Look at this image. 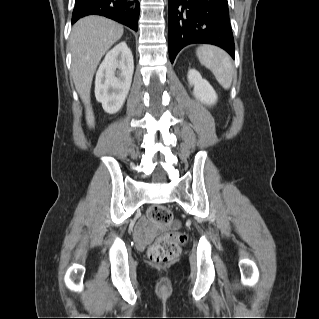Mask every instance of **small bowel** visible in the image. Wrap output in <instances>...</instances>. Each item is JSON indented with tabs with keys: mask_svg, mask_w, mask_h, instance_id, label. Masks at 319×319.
I'll return each mask as SVG.
<instances>
[{
	"mask_svg": "<svg viewBox=\"0 0 319 319\" xmlns=\"http://www.w3.org/2000/svg\"><path fill=\"white\" fill-rule=\"evenodd\" d=\"M160 230L159 226L145 218H140L135 226V237L138 241H145L152 238Z\"/></svg>",
	"mask_w": 319,
	"mask_h": 319,
	"instance_id": "obj_1",
	"label": "small bowel"
}]
</instances>
